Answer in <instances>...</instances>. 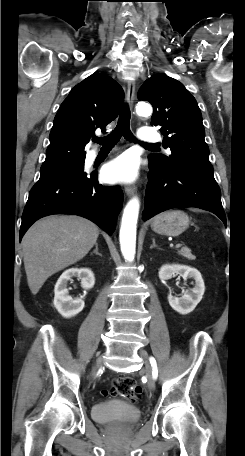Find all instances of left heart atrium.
<instances>
[{
    "instance_id": "obj_1",
    "label": "left heart atrium",
    "mask_w": 245,
    "mask_h": 456,
    "mask_svg": "<svg viewBox=\"0 0 245 456\" xmlns=\"http://www.w3.org/2000/svg\"><path fill=\"white\" fill-rule=\"evenodd\" d=\"M139 173V160L133 153H124L103 169V176L108 182L128 183L134 181Z\"/></svg>"
}]
</instances>
